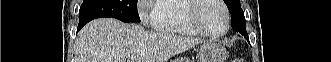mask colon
<instances>
[{
    "label": "colon",
    "mask_w": 331,
    "mask_h": 62,
    "mask_svg": "<svg viewBox=\"0 0 331 62\" xmlns=\"http://www.w3.org/2000/svg\"><path fill=\"white\" fill-rule=\"evenodd\" d=\"M232 62H244L243 59H234Z\"/></svg>",
    "instance_id": "obj_1"
}]
</instances>
